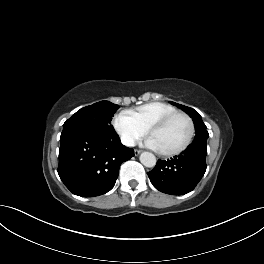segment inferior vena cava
Segmentation results:
<instances>
[{
    "instance_id": "1",
    "label": "inferior vena cava",
    "mask_w": 264,
    "mask_h": 264,
    "mask_svg": "<svg viewBox=\"0 0 264 264\" xmlns=\"http://www.w3.org/2000/svg\"><path fill=\"white\" fill-rule=\"evenodd\" d=\"M121 142L123 145L128 146V147L135 145L134 139L131 137H127V136L122 137Z\"/></svg>"
}]
</instances>
